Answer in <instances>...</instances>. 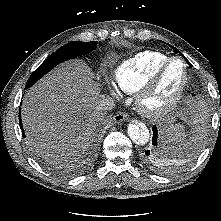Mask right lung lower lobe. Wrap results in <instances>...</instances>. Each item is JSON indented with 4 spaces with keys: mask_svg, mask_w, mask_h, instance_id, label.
Segmentation results:
<instances>
[{
    "mask_svg": "<svg viewBox=\"0 0 221 221\" xmlns=\"http://www.w3.org/2000/svg\"><path fill=\"white\" fill-rule=\"evenodd\" d=\"M19 124H20V128H21V130H22V132L24 134L20 114H19ZM23 136L25 137V135H23Z\"/></svg>",
    "mask_w": 221,
    "mask_h": 221,
    "instance_id": "1",
    "label": "right lung lower lobe"
}]
</instances>
